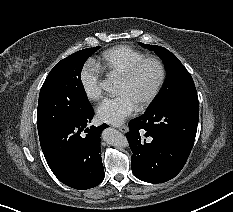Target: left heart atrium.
I'll use <instances>...</instances> for the list:
<instances>
[{
  "instance_id": "1",
  "label": "left heart atrium",
  "mask_w": 233,
  "mask_h": 212,
  "mask_svg": "<svg viewBox=\"0 0 233 212\" xmlns=\"http://www.w3.org/2000/svg\"><path fill=\"white\" fill-rule=\"evenodd\" d=\"M137 104L126 93L104 99L97 107V115L103 122L118 125L130 117Z\"/></svg>"
}]
</instances>
